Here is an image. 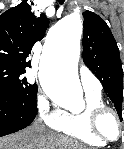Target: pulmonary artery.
Masks as SVG:
<instances>
[{"label":"pulmonary artery","mask_w":124,"mask_h":149,"mask_svg":"<svg viewBox=\"0 0 124 149\" xmlns=\"http://www.w3.org/2000/svg\"><path fill=\"white\" fill-rule=\"evenodd\" d=\"M79 76L82 88L85 92H100L102 89L101 82L85 65H81L79 69Z\"/></svg>","instance_id":"1"}]
</instances>
